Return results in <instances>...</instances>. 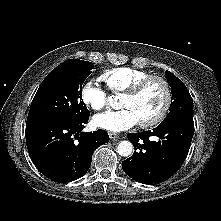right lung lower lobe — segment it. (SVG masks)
I'll use <instances>...</instances> for the list:
<instances>
[{
  "instance_id": "98d812e1",
  "label": "right lung lower lobe",
  "mask_w": 221,
  "mask_h": 221,
  "mask_svg": "<svg viewBox=\"0 0 221 221\" xmlns=\"http://www.w3.org/2000/svg\"><path fill=\"white\" fill-rule=\"evenodd\" d=\"M88 118L76 121L43 119L26 123L29 155L46 177L56 182H68L87 172L94 150L109 141L105 130L82 132Z\"/></svg>"
}]
</instances>
